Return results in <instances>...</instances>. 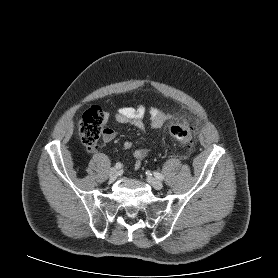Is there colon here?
Listing matches in <instances>:
<instances>
[{
	"label": "colon",
	"mask_w": 278,
	"mask_h": 278,
	"mask_svg": "<svg viewBox=\"0 0 278 278\" xmlns=\"http://www.w3.org/2000/svg\"><path fill=\"white\" fill-rule=\"evenodd\" d=\"M105 116L103 110L98 106H93L84 112L78 123L79 134L83 144L90 150L97 147L98 141L104 132L103 124ZM173 138L178 140L186 151H190L193 146V133L187 123L174 124L169 128Z\"/></svg>",
	"instance_id": "5ec220e1"
}]
</instances>
